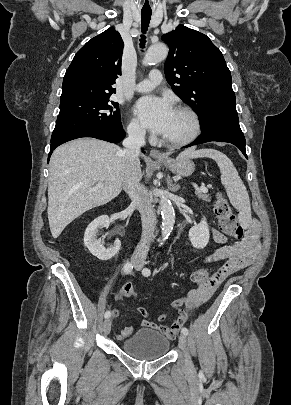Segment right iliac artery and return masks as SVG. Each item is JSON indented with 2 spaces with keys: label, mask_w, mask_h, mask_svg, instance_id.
Returning a JSON list of instances; mask_svg holds the SVG:
<instances>
[{
  "label": "right iliac artery",
  "mask_w": 291,
  "mask_h": 405,
  "mask_svg": "<svg viewBox=\"0 0 291 405\" xmlns=\"http://www.w3.org/2000/svg\"><path fill=\"white\" fill-rule=\"evenodd\" d=\"M132 270H133V265L130 262H127L123 267V271H124L125 274H130L132 272ZM110 316H111L110 311H106L105 314H104V317L107 319Z\"/></svg>",
  "instance_id": "82829eb1"
}]
</instances>
